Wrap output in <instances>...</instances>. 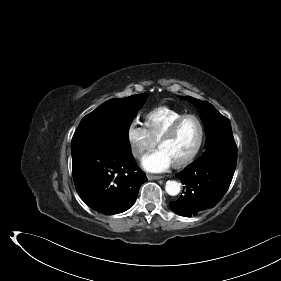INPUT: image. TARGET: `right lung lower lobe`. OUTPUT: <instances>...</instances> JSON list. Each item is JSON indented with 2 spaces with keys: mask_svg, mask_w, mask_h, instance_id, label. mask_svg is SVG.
Returning <instances> with one entry per match:
<instances>
[{
  "mask_svg": "<svg viewBox=\"0 0 281 281\" xmlns=\"http://www.w3.org/2000/svg\"><path fill=\"white\" fill-rule=\"evenodd\" d=\"M72 174L84 203L107 215L128 210L147 181L131 149L78 153L72 156Z\"/></svg>",
  "mask_w": 281,
  "mask_h": 281,
  "instance_id": "1",
  "label": "right lung lower lobe"
}]
</instances>
